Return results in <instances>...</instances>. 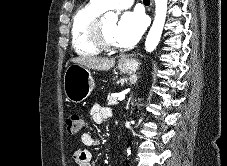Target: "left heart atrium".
I'll return each instance as SVG.
<instances>
[{
	"label": "left heart atrium",
	"mask_w": 227,
	"mask_h": 166,
	"mask_svg": "<svg viewBox=\"0 0 227 166\" xmlns=\"http://www.w3.org/2000/svg\"><path fill=\"white\" fill-rule=\"evenodd\" d=\"M147 25L145 15L138 11L125 12L117 23L115 38L122 45H132L144 32Z\"/></svg>",
	"instance_id": "left-heart-atrium-1"
}]
</instances>
